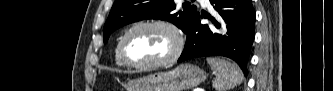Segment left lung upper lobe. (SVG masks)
Segmentation results:
<instances>
[{
    "label": "left lung upper lobe",
    "mask_w": 333,
    "mask_h": 91,
    "mask_svg": "<svg viewBox=\"0 0 333 91\" xmlns=\"http://www.w3.org/2000/svg\"><path fill=\"white\" fill-rule=\"evenodd\" d=\"M193 1H185L183 11L173 13L176 4L173 0H115L104 25V43L116 29L143 19H161L172 22L184 33L188 30L197 9Z\"/></svg>",
    "instance_id": "5c2ea615"
}]
</instances>
